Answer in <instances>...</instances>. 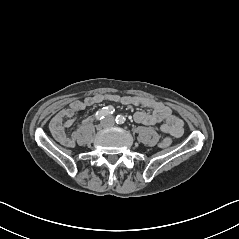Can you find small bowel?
I'll use <instances>...</instances> for the list:
<instances>
[{
    "instance_id": "1",
    "label": "small bowel",
    "mask_w": 239,
    "mask_h": 239,
    "mask_svg": "<svg viewBox=\"0 0 239 239\" xmlns=\"http://www.w3.org/2000/svg\"><path fill=\"white\" fill-rule=\"evenodd\" d=\"M104 101L122 103L135 107H146L150 111H137L134 120L142 125L151 126L160 124V130L174 137H181L184 132L183 121L162 102L140 96H120L118 94H94L83 101H74L67 108L59 111L50 122V131L54 138L66 147L76 144V133L68 136L65 128L71 126L76 116L86 106L95 105Z\"/></svg>"
}]
</instances>
